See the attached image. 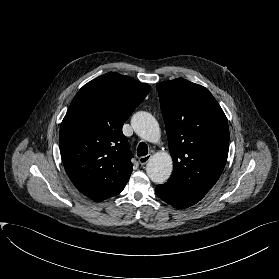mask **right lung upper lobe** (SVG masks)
Instances as JSON below:
<instances>
[{"instance_id":"cb5924a9","label":"right lung upper lobe","mask_w":279,"mask_h":279,"mask_svg":"<svg viewBox=\"0 0 279 279\" xmlns=\"http://www.w3.org/2000/svg\"><path fill=\"white\" fill-rule=\"evenodd\" d=\"M150 90L128 76L104 74L85 84L62 121L59 145L73 184L101 201L119 194L132 172V154L122 126Z\"/></svg>"}]
</instances>
